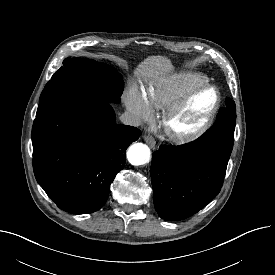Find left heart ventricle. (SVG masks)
Listing matches in <instances>:
<instances>
[{"mask_svg":"<svg viewBox=\"0 0 275 275\" xmlns=\"http://www.w3.org/2000/svg\"><path fill=\"white\" fill-rule=\"evenodd\" d=\"M216 100L215 92L212 90L203 91L197 94L171 122L170 128L174 132H187L200 125Z\"/></svg>","mask_w":275,"mask_h":275,"instance_id":"obj_1","label":"left heart ventricle"}]
</instances>
